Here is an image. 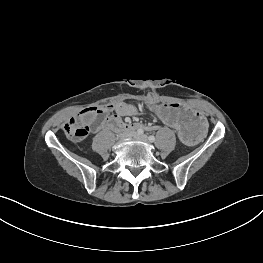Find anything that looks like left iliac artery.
Returning a JSON list of instances; mask_svg holds the SVG:
<instances>
[{"instance_id": "obj_1", "label": "left iliac artery", "mask_w": 263, "mask_h": 263, "mask_svg": "<svg viewBox=\"0 0 263 263\" xmlns=\"http://www.w3.org/2000/svg\"><path fill=\"white\" fill-rule=\"evenodd\" d=\"M148 139H149L150 142H154L155 141V137L153 135H150L148 137Z\"/></svg>"}]
</instances>
